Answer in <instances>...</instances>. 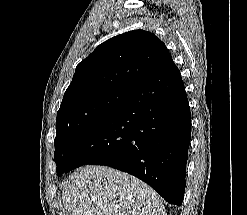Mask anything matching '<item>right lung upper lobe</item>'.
Here are the masks:
<instances>
[{"instance_id": "right-lung-upper-lobe-1", "label": "right lung upper lobe", "mask_w": 247, "mask_h": 215, "mask_svg": "<svg viewBox=\"0 0 247 215\" xmlns=\"http://www.w3.org/2000/svg\"><path fill=\"white\" fill-rule=\"evenodd\" d=\"M171 54L153 33L134 30L100 44L80 62L65 94L83 89L133 91L147 81Z\"/></svg>"}]
</instances>
